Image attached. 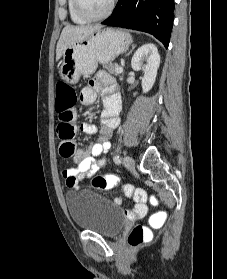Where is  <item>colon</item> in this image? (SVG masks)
I'll return each mask as SVG.
<instances>
[{"mask_svg":"<svg viewBox=\"0 0 227 279\" xmlns=\"http://www.w3.org/2000/svg\"><path fill=\"white\" fill-rule=\"evenodd\" d=\"M57 101L55 104L56 112L58 113L61 122L59 133L63 141L60 145V155L63 158H71L74 153V145L71 141L74 135V127L71 125L73 119V108L77 102L75 89L71 86L59 84L57 87ZM120 183V178L117 174L107 173L95 176L92 180V185L96 190H105L113 188ZM69 185L73 188H78V182L74 177L69 179ZM143 190H136L135 195L138 197L144 196ZM150 231L146 227L136 226L129 237V242L132 245H138L149 238Z\"/></svg>","mask_w":227,"mask_h":279,"instance_id":"colon-1","label":"colon"}]
</instances>
